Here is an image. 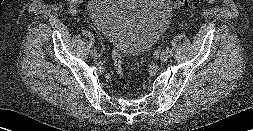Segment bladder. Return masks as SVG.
<instances>
[{
	"instance_id": "31cf9c89",
	"label": "bladder",
	"mask_w": 253,
	"mask_h": 131,
	"mask_svg": "<svg viewBox=\"0 0 253 131\" xmlns=\"http://www.w3.org/2000/svg\"><path fill=\"white\" fill-rule=\"evenodd\" d=\"M89 10L109 43L127 56L149 48L171 17L169 0H91Z\"/></svg>"
}]
</instances>
